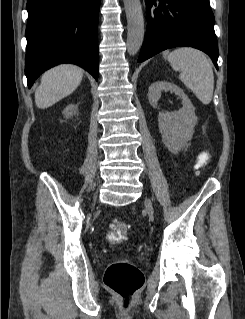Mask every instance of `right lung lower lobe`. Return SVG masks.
<instances>
[{
	"label": "right lung lower lobe",
	"instance_id": "obj_1",
	"mask_svg": "<svg viewBox=\"0 0 245 319\" xmlns=\"http://www.w3.org/2000/svg\"><path fill=\"white\" fill-rule=\"evenodd\" d=\"M100 0H28L25 75L31 87L41 73L74 63L97 80Z\"/></svg>",
	"mask_w": 245,
	"mask_h": 319
}]
</instances>
